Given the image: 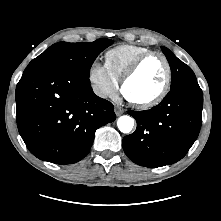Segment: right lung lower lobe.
<instances>
[{
    "mask_svg": "<svg viewBox=\"0 0 221 221\" xmlns=\"http://www.w3.org/2000/svg\"><path fill=\"white\" fill-rule=\"evenodd\" d=\"M16 106L27 148L55 164L84 158L96 130L116 119L112 103L94 94L89 77L56 68L25 69L16 87Z\"/></svg>",
    "mask_w": 221,
    "mask_h": 221,
    "instance_id": "right-lung-lower-lobe-1",
    "label": "right lung lower lobe"
}]
</instances>
